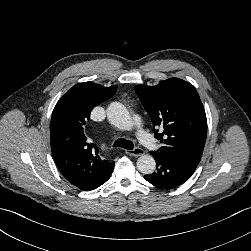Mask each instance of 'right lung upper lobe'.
Returning a JSON list of instances; mask_svg holds the SVG:
<instances>
[{"label":"right lung upper lobe","instance_id":"1","mask_svg":"<svg viewBox=\"0 0 251 251\" xmlns=\"http://www.w3.org/2000/svg\"><path fill=\"white\" fill-rule=\"evenodd\" d=\"M116 91L117 86L79 83L58 101L53 110L50 123L52 154L63 176L78 188L111 164L100 158L98 148L84 134V126L91 110L110 99Z\"/></svg>","mask_w":251,"mask_h":251}]
</instances>
